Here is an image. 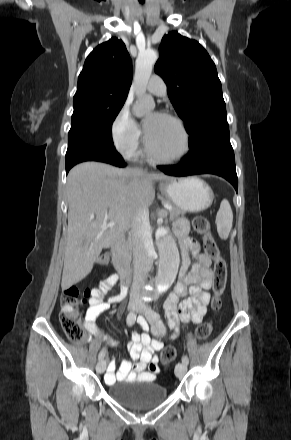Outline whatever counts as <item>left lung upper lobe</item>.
<instances>
[{
    "instance_id": "5c2ea615",
    "label": "left lung upper lobe",
    "mask_w": 291,
    "mask_h": 440,
    "mask_svg": "<svg viewBox=\"0 0 291 440\" xmlns=\"http://www.w3.org/2000/svg\"><path fill=\"white\" fill-rule=\"evenodd\" d=\"M155 72L185 121L193 149L212 134L229 130L221 82L214 62L197 41L170 32L162 38Z\"/></svg>"
}]
</instances>
